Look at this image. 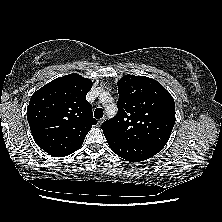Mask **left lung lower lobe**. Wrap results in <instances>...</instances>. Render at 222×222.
I'll use <instances>...</instances> for the list:
<instances>
[{
	"instance_id": "0a47b994",
	"label": "left lung lower lobe",
	"mask_w": 222,
	"mask_h": 222,
	"mask_svg": "<svg viewBox=\"0 0 222 222\" xmlns=\"http://www.w3.org/2000/svg\"><path fill=\"white\" fill-rule=\"evenodd\" d=\"M112 151L129 162H140L153 157L163 147L154 144L128 143L105 135Z\"/></svg>"
}]
</instances>
